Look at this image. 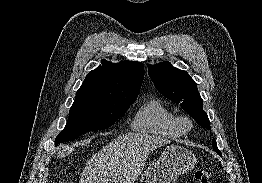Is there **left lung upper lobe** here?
<instances>
[{
  "mask_svg": "<svg viewBox=\"0 0 262 183\" xmlns=\"http://www.w3.org/2000/svg\"><path fill=\"white\" fill-rule=\"evenodd\" d=\"M148 74L157 90L180 106L204 129H211L210 121L203 110V100L197 85L187 72L173 67L168 61L148 65ZM213 149L220 156L216 140Z\"/></svg>",
  "mask_w": 262,
  "mask_h": 183,
  "instance_id": "5c2ea615",
  "label": "left lung upper lobe"
}]
</instances>
